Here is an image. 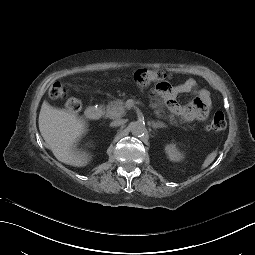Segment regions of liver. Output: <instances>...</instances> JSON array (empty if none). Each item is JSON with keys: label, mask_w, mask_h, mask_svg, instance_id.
Returning a JSON list of instances; mask_svg holds the SVG:
<instances>
[{"label": "liver", "mask_w": 255, "mask_h": 255, "mask_svg": "<svg viewBox=\"0 0 255 255\" xmlns=\"http://www.w3.org/2000/svg\"><path fill=\"white\" fill-rule=\"evenodd\" d=\"M39 130L59 162L77 168L89 164V158L76 151L77 144L87 134V128L75 114L54 109L43 102L39 114Z\"/></svg>", "instance_id": "liver-1"}]
</instances>
